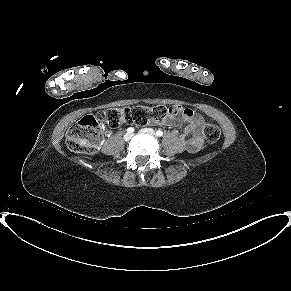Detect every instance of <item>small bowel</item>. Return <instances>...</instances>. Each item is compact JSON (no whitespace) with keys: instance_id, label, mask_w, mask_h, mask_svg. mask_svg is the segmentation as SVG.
Returning <instances> with one entry per match:
<instances>
[{"instance_id":"obj_1","label":"small bowel","mask_w":291,"mask_h":291,"mask_svg":"<svg viewBox=\"0 0 291 291\" xmlns=\"http://www.w3.org/2000/svg\"><path fill=\"white\" fill-rule=\"evenodd\" d=\"M180 116H169L160 122L171 127H180L185 124L184 132L180 135V140L189 152H197L204 144V120L201 115L195 113L192 109L178 106Z\"/></svg>"}]
</instances>
